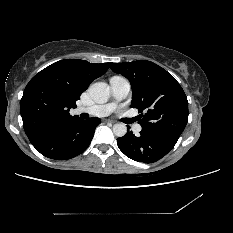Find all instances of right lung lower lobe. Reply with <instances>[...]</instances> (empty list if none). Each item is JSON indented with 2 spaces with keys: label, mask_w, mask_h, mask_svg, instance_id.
Instances as JSON below:
<instances>
[{
  "label": "right lung lower lobe",
  "mask_w": 233,
  "mask_h": 233,
  "mask_svg": "<svg viewBox=\"0 0 233 233\" xmlns=\"http://www.w3.org/2000/svg\"><path fill=\"white\" fill-rule=\"evenodd\" d=\"M99 124V118L82 120L78 117L32 145L48 158L70 159L87 149L93 138L95 128Z\"/></svg>",
  "instance_id": "98d812e1"
}]
</instances>
